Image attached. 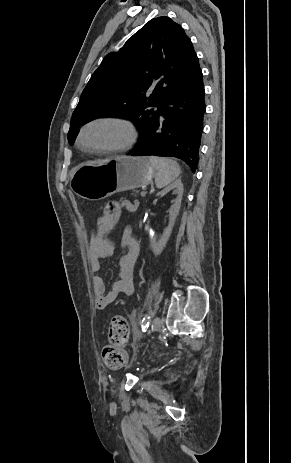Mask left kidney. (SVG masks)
<instances>
[{"label":"left kidney","mask_w":291,"mask_h":463,"mask_svg":"<svg viewBox=\"0 0 291 463\" xmlns=\"http://www.w3.org/2000/svg\"><path fill=\"white\" fill-rule=\"evenodd\" d=\"M174 189V193L177 194V198L174 204L169 209V224L166 229L163 231V234L159 240H157L153 235H150V247L155 254H160L171 235L172 228L174 226L176 217L178 216L182 195H183V184L181 180L173 182L171 185L163 189L161 192L157 193V196Z\"/></svg>","instance_id":"left-kidney-1"}]
</instances>
